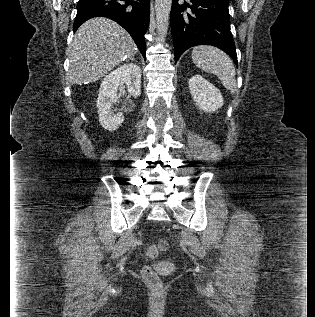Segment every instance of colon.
Masks as SVG:
<instances>
[{
	"instance_id": "1",
	"label": "colon",
	"mask_w": 315,
	"mask_h": 317,
	"mask_svg": "<svg viewBox=\"0 0 315 317\" xmlns=\"http://www.w3.org/2000/svg\"><path fill=\"white\" fill-rule=\"evenodd\" d=\"M167 248V242L161 240L156 244H150L146 247V254L149 257H156L160 252L164 251ZM142 275L144 279L153 287L160 288L161 280L157 273L150 267L146 266L142 270Z\"/></svg>"
}]
</instances>
